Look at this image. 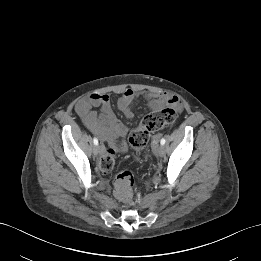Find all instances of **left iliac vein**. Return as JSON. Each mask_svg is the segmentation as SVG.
<instances>
[{
	"mask_svg": "<svg viewBox=\"0 0 261 261\" xmlns=\"http://www.w3.org/2000/svg\"><path fill=\"white\" fill-rule=\"evenodd\" d=\"M155 153H156L158 156L162 157V156L164 155V153H165L164 146H163V145H157V146L155 147Z\"/></svg>",
	"mask_w": 261,
	"mask_h": 261,
	"instance_id": "left-iliac-vein-1",
	"label": "left iliac vein"
}]
</instances>
